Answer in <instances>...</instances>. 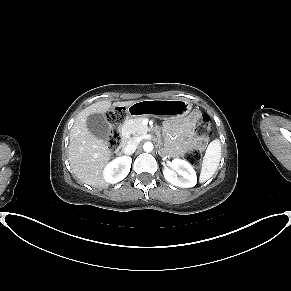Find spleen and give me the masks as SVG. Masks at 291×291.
Wrapping results in <instances>:
<instances>
[{
	"label": "spleen",
	"mask_w": 291,
	"mask_h": 291,
	"mask_svg": "<svg viewBox=\"0 0 291 291\" xmlns=\"http://www.w3.org/2000/svg\"><path fill=\"white\" fill-rule=\"evenodd\" d=\"M221 159V143L219 139L213 140L207 147L202 162L200 182H206L217 170Z\"/></svg>",
	"instance_id": "1"
}]
</instances>
